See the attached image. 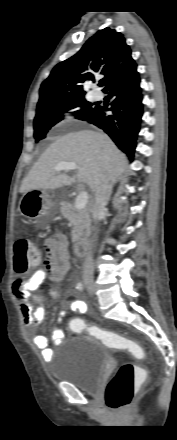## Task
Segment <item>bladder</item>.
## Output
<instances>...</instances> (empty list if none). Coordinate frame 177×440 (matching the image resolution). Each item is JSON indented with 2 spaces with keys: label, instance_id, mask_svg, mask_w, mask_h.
Listing matches in <instances>:
<instances>
[{
  "label": "bladder",
  "instance_id": "31cf9c89",
  "mask_svg": "<svg viewBox=\"0 0 177 440\" xmlns=\"http://www.w3.org/2000/svg\"><path fill=\"white\" fill-rule=\"evenodd\" d=\"M79 344H63L53 360L51 375L56 381L68 382L86 393H96L108 361V352L95 338L79 337Z\"/></svg>",
  "mask_w": 177,
  "mask_h": 440
}]
</instances>
